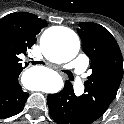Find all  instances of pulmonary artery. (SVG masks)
I'll return each instance as SVG.
<instances>
[{
  "mask_svg": "<svg viewBox=\"0 0 124 124\" xmlns=\"http://www.w3.org/2000/svg\"><path fill=\"white\" fill-rule=\"evenodd\" d=\"M88 57L84 54L79 55L73 62L65 66L66 69L71 70L74 77L75 92L80 95L84 90L83 75L88 66Z\"/></svg>",
  "mask_w": 124,
  "mask_h": 124,
  "instance_id": "pulmonary-artery-1",
  "label": "pulmonary artery"
}]
</instances>
